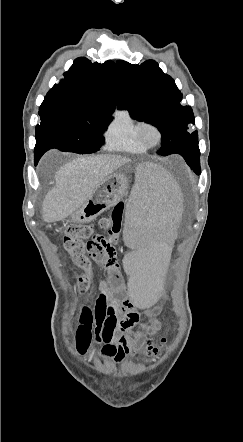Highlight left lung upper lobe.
<instances>
[{"label": "left lung upper lobe", "mask_w": 243, "mask_h": 442, "mask_svg": "<svg viewBox=\"0 0 243 442\" xmlns=\"http://www.w3.org/2000/svg\"><path fill=\"white\" fill-rule=\"evenodd\" d=\"M120 75L119 109H128L132 118L153 124L162 134L159 155L180 154L196 173L200 171L198 159V133L189 132L194 124L190 106L182 105V94L174 80L159 68L154 60L141 65L117 61ZM187 162V161H186Z\"/></svg>", "instance_id": "obj_1"}]
</instances>
